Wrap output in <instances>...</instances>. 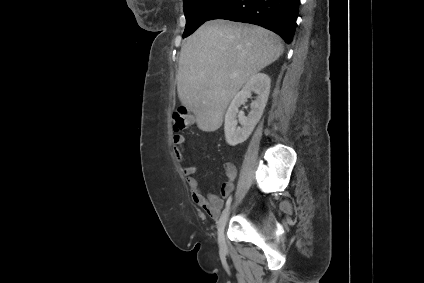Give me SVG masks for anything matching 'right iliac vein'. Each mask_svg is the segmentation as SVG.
<instances>
[{
	"label": "right iliac vein",
	"mask_w": 424,
	"mask_h": 283,
	"mask_svg": "<svg viewBox=\"0 0 424 283\" xmlns=\"http://www.w3.org/2000/svg\"><path fill=\"white\" fill-rule=\"evenodd\" d=\"M230 214V207H228L222 214L217 224L218 244L221 250H226V241L224 236V229L227 224Z\"/></svg>",
	"instance_id": "obj_1"
}]
</instances>
